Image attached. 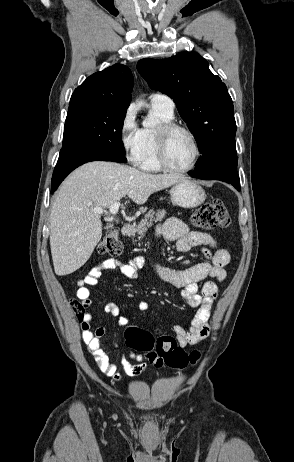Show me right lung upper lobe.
<instances>
[{
  "instance_id": "cb5924a9",
  "label": "right lung upper lobe",
  "mask_w": 294,
  "mask_h": 462,
  "mask_svg": "<svg viewBox=\"0 0 294 462\" xmlns=\"http://www.w3.org/2000/svg\"><path fill=\"white\" fill-rule=\"evenodd\" d=\"M133 75L131 70L115 64L89 76L71 96L69 107L111 106L127 109L132 95Z\"/></svg>"
}]
</instances>
